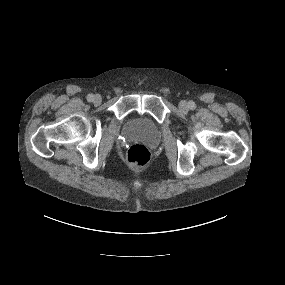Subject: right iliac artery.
I'll return each mask as SVG.
<instances>
[{"mask_svg": "<svg viewBox=\"0 0 285 285\" xmlns=\"http://www.w3.org/2000/svg\"><path fill=\"white\" fill-rule=\"evenodd\" d=\"M87 100H88L89 102H92V101L94 100V95H93V94H89V95L87 96Z\"/></svg>", "mask_w": 285, "mask_h": 285, "instance_id": "obj_1", "label": "right iliac artery"}]
</instances>
